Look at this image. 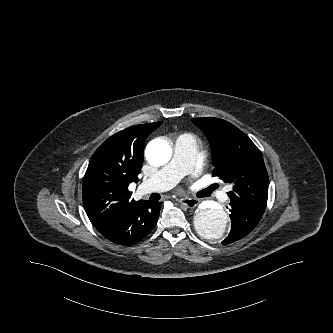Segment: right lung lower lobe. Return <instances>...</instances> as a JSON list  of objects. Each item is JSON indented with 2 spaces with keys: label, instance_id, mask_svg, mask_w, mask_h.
I'll return each instance as SVG.
<instances>
[{
  "label": "right lung lower lobe",
  "instance_id": "98d812e1",
  "mask_svg": "<svg viewBox=\"0 0 333 333\" xmlns=\"http://www.w3.org/2000/svg\"><path fill=\"white\" fill-rule=\"evenodd\" d=\"M161 203L141 200L127 208L112 225L100 233L108 240L131 246L145 238L156 226Z\"/></svg>",
  "mask_w": 333,
  "mask_h": 333
}]
</instances>
